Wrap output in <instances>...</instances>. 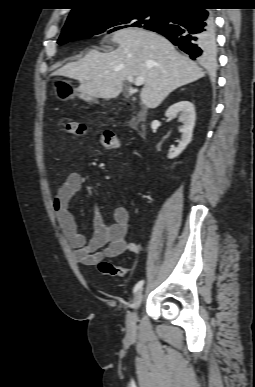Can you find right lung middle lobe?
I'll return each mask as SVG.
<instances>
[{
    "instance_id": "obj_1",
    "label": "right lung middle lobe",
    "mask_w": 255,
    "mask_h": 387,
    "mask_svg": "<svg viewBox=\"0 0 255 387\" xmlns=\"http://www.w3.org/2000/svg\"><path fill=\"white\" fill-rule=\"evenodd\" d=\"M167 8L147 6H121L91 13L77 21L66 23L58 39L60 45L89 38L126 27L150 29L165 21Z\"/></svg>"
}]
</instances>
